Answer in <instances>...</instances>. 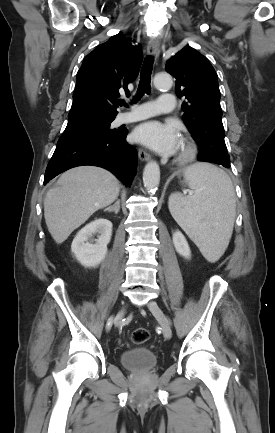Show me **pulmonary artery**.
<instances>
[{
    "instance_id": "obj_1",
    "label": "pulmonary artery",
    "mask_w": 275,
    "mask_h": 433,
    "mask_svg": "<svg viewBox=\"0 0 275 433\" xmlns=\"http://www.w3.org/2000/svg\"><path fill=\"white\" fill-rule=\"evenodd\" d=\"M175 107V97L171 93H163L157 100L147 101L134 105L130 112L122 113L119 116L120 123H129L149 118L157 114L171 113Z\"/></svg>"
}]
</instances>
